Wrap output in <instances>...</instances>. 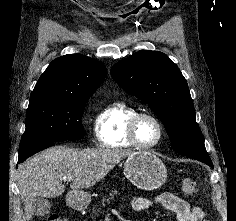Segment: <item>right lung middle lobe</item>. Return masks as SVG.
Instances as JSON below:
<instances>
[{
  "label": "right lung middle lobe",
  "mask_w": 236,
  "mask_h": 221,
  "mask_svg": "<svg viewBox=\"0 0 236 221\" xmlns=\"http://www.w3.org/2000/svg\"><path fill=\"white\" fill-rule=\"evenodd\" d=\"M87 100L30 98L19 151L39 144L82 139L81 118Z\"/></svg>",
  "instance_id": "dd1d6c3e"
}]
</instances>
